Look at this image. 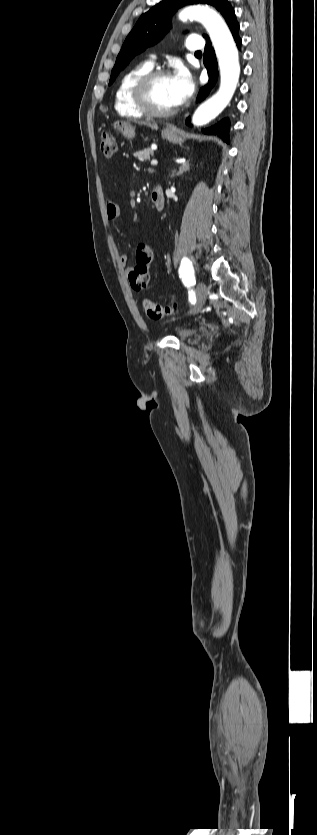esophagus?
Segmentation results:
<instances>
[{"label": "esophagus", "mask_w": 317, "mask_h": 835, "mask_svg": "<svg viewBox=\"0 0 317 835\" xmlns=\"http://www.w3.org/2000/svg\"><path fill=\"white\" fill-rule=\"evenodd\" d=\"M168 129H170V130H175V128H173V127H169Z\"/></svg>", "instance_id": "1"}]
</instances>
